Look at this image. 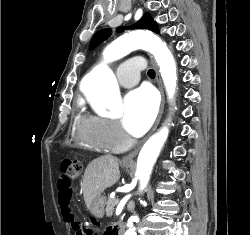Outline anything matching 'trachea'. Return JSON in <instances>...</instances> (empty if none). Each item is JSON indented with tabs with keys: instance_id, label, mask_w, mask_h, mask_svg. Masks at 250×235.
<instances>
[{
	"instance_id": "obj_1",
	"label": "trachea",
	"mask_w": 250,
	"mask_h": 235,
	"mask_svg": "<svg viewBox=\"0 0 250 235\" xmlns=\"http://www.w3.org/2000/svg\"><path fill=\"white\" fill-rule=\"evenodd\" d=\"M148 76L155 77V71L153 69L148 70Z\"/></svg>"
}]
</instances>
